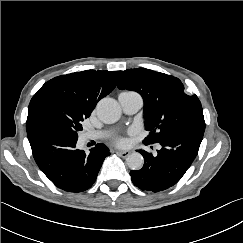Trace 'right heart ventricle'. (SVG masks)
<instances>
[{"instance_id":"right-heart-ventricle-1","label":"right heart ventricle","mask_w":243,"mask_h":243,"mask_svg":"<svg viewBox=\"0 0 243 243\" xmlns=\"http://www.w3.org/2000/svg\"><path fill=\"white\" fill-rule=\"evenodd\" d=\"M124 94H137L136 92H133V91H125L123 92Z\"/></svg>"}]
</instances>
